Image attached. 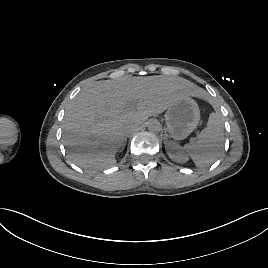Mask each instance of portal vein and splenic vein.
<instances>
[{
    "mask_svg": "<svg viewBox=\"0 0 268 268\" xmlns=\"http://www.w3.org/2000/svg\"><path fill=\"white\" fill-rule=\"evenodd\" d=\"M134 109V105L133 104H130L126 107V110L129 111V110H132Z\"/></svg>",
    "mask_w": 268,
    "mask_h": 268,
    "instance_id": "portal-vein-and-splenic-vein-1",
    "label": "portal vein and splenic vein"
}]
</instances>
